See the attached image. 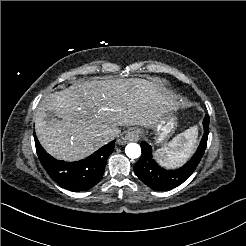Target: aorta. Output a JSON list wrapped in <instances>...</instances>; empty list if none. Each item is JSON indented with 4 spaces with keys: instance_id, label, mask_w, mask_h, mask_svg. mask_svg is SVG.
<instances>
[{
    "instance_id": "1",
    "label": "aorta",
    "mask_w": 246,
    "mask_h": 246,
    "mask_svg": "<svg viewBox=\"0 0 246 246\" xmlns=\"http://www.w3.org/2000/svg\"><path fill=\"white\" fill-rule=\"evenodd\" d=\"M125 153L131 159L139 158L141 155V147L137 143H129L125 147Z\"/></svg>"
}]
</instances>
